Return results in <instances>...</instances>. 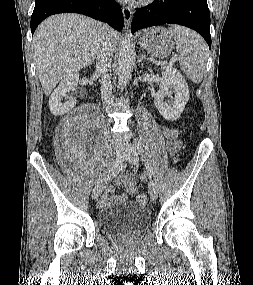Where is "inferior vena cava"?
Returning <instances> with one entry per match:
<instances>
[{
	"mask_svg": "<svg viewBox=\"0 0 253 285\" xmlns=\"http://www.w3.org/2000/svg\"><path fill=\"white\" fill-rule=\"evenodd\" d=\"M109 26L101 23L100 47L96 57V71L102 75L101 98L103 104L109 106L112 100V90L108 71L111 67L114 46L108 35Z\"/></svg>",
	"mask_w": 253,
	"mask_h": 285,
	"instance_id": "1",
	"label": "inferior vena cava"
}]
</instances>
